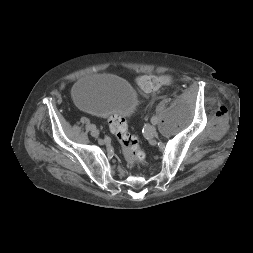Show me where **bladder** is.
<instances>
[{
    "instance_id": "31cf9c89",
    "label": "bladder",
    "mask_w": 253,
    "mask_h": 253,
    "mask_svg": "<svg viewBox=\"0 0 253 253\" xmlns=\"http://www.w3.org/2000/svg\"><path fill=\"white\" fill-rule=\"evenodd\" d=\"M72 96L80 107L103 117H128L138 106L137 93L130 83L108 74L80 78L72 88Z\"/></svg>"
}]
</instances>
